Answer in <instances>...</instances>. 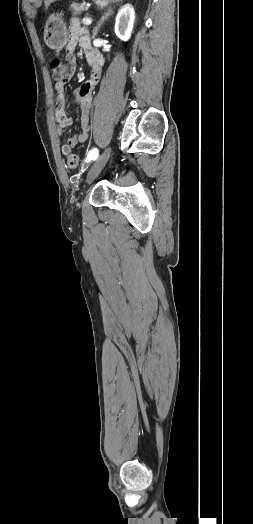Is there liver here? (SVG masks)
<instances>
[{
	"mask_svg": "<svg viewBox=\"0 0 253 524\" xmlns=\"http://www.w3.org/2000/svg\"><path fill=\"white\" fill-rule=\"evenodd\" d=\"M56 0H45V6L46 8L53 2H55Z\"/></svg>",
	"mask_w": 253,
	"mask_h": 524,
	"instance_id": "liver-1",
	"label": "liver"
}]
</instances>
